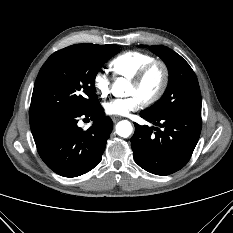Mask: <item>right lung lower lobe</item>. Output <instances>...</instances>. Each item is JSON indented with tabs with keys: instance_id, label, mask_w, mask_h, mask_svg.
Listing matches in <instances>:
<instances>
[{
	"instance_id": "obj_1",
	"label": "right lung lower lobe",
	"mask_w": 233,
	"mask_h": 233,
	"mask_svg": "<svg viewBox=\"0 0 233 233\" xmlns=\"http://www.w3.org/2000/svg\"><path fill=\"white\" fill-rule=\"evenodd\" d=\"M94 119L86 131L78 127L79 117ZM37 151L45 164L64 177H77L92 170L102 159L112 131L99 101L85 112H54L30 116Z\"/></svg>"
}]
</instances>
